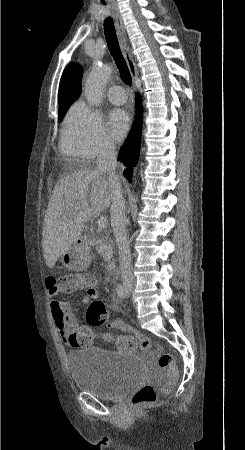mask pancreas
Listing matches in <instances>:
<instances>
[{"mask_svg":"<svg viewBox=\"0 0 245 450\" xmlns=\"http://www.w3.org/2000/svg\"><path fill=\"white\" fill-rule=\"evenodd\" d=\"M103 242H104V240L99 241V243L96 247V250L103 257V259L105 261H108L110 258V254H111V246L107 243L105 245Z\"/></svg>","mask_w":245,"mask_h":450,"instance_id":"obj_1","label":"pancreas"}]
</instances>
